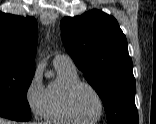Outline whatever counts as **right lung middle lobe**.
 <instances>
[{"label":"right lung middle lobe","mask_w":156,"mask_h":124,"mask_svg":"<svg viewBox=\"0 0 156 124\" xmlns=\"http://www.w3.org/2000/svg\"><path fill=\"white\" fill-rule=\"evenodd\" d=\"M35 70L0 65V107L30 113L26 92Z\"/></svg>","instance_id":"dd1d6c3e"}]
</instances>
